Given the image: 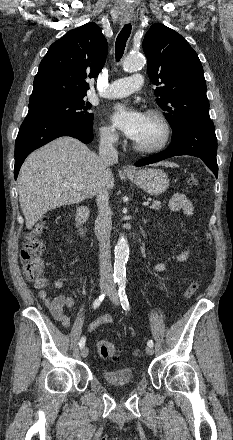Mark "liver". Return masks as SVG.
<instances>
[{"label":"liver","instance_id":"1","mask_svg":"<svg viewBox=\"0 0 233 440\" xmlns=\"http://www.w3.org/2000/svg\"><path fill=\"white\" fill-rule=\"evenodd\" d=\"M17 184L20 206L30 230L52 209L80 203L103 189H113L114 177L100 156L85 144L73 137H60L27 157ZM72 184L84 189L78 191Z\"/></svg>","mask_w":233,"mask_h":440}]
</instances>
